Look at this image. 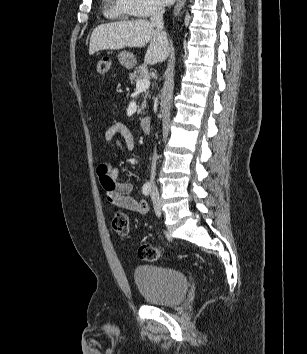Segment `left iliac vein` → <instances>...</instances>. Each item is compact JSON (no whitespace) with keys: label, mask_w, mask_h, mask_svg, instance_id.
Returning a JSON list of instances; mask_svg holds the SVG:
<instances>
[{"label":"left iliac vein","mask_w":307,"mask_h":354,"mask_svg":"<svg viewBox=\"0 0 307 354\" xmlns=\"http://www.w3.org/2000/svg\"><path fill=\"white\" fill-rule=\"evenodd\" d=\"M153 205H154V210H155V213L158 217H160L161 215V202L159 200V198H154L153 199Z\"/></svg>","instance_id":"left-iliac-vein-1"}]
</instances>
